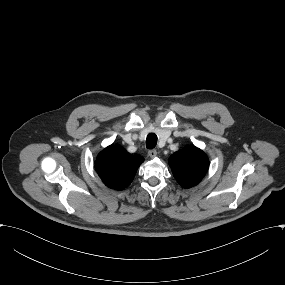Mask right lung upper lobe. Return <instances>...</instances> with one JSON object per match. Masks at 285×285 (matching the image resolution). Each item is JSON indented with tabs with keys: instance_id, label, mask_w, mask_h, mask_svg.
<instances>
[{
	"instance_id": "right-lung-upper-lobe-1",
	"label": "right lung upper lobe",
	"mask_w": 285,
	"mask_h": 285,
	"mask_svg": "<svg viewBox=\"0 0 285 285\" xmlns=\"http://www.w3.org/2000/svg\"><path fill=\"white\" fill-rule=\"evenodd\" d=\"M142 162L140 155L129 154L119 145H110L99 153L95 170L107 187L122 190L132 182Z\"/></svg>"
}]
</instances>
